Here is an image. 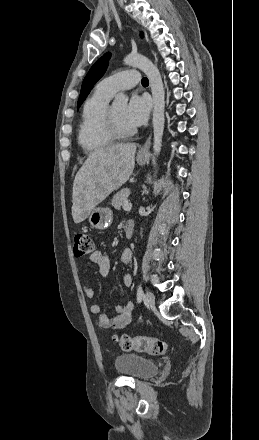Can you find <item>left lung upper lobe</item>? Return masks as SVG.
I'll return each instance as SVG.
<instances>
[{
	"instance_id": "5c2ea615",
	"label": "left lung upper lobe",
	"mask_w": 259,
	"mask_h": 440,
	"mask_svg": "<svg viewBox=\"0 0 259 440\" xmlns=\"http://www.w3.org/2000/svg\"><path fill=\"white\" fill-rule=\"evenodd\" d=\"M110 56L111 54L109 52L104 54L90 68L89 72L87 73L82 83L81 93L78 99L77 108H79L81 104L84 102V100L90 93L93 85L104 75L108 67Z\"/></svg>"
}]
</instances>
